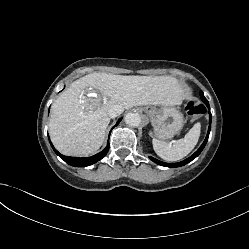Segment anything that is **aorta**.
Here are the masks:
<instances>
[{"mask_svg":"<svg viewBox=\"0 0 249 249\" xmlns=\"http://www.w3.org/2000/svg\"><path fill=\"white\" fill-rule=\"evenodd\" d=\"M125 123L131 127H137L140 125L141 118L137 113H128L125 116Z\"/></svg>","mask_w":249,"mask_h":249,"instance_id":"762f6f07","label":"aorta"}]
</instances>
